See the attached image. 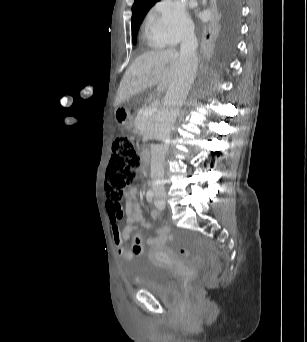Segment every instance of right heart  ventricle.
Here are the masks:
<instances>
[{
  "label": "right heart ventricle",
  "instance_id": "1",
  "mask_svg": "<svg viewBox=\"0 0 307 342\" xmlns=\"http://www.w3.org/2000/svg\"><path fill=\"white\" fill-rule=\"evenodd\" d=\"M140 42L143 46L142 49L145 53L155 52L161 48V45L157 44L156 42H154L152 39L145 36L144 34L140 35Z\"/></svg>",
  "mask_w": 307,
  "mask_h": 342
}]
</instances>
